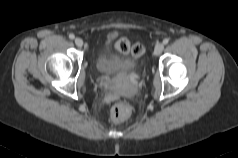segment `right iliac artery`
Segmentation results:
<instances>
[{
  "mask_svg": "<svg viewBox=\"0 0 238 158\" xmlns=\"http://www.w3.org/2000/svg\"><path fill=\"white\" fill-rule=\"evenodd\" d=\"M69 38L73 40L75 38L74 34H70Z\"/></svg>",
  "mask_w": 238,
  "mask_h": 158,
  "instance_id": "1",
  "label": "right iliac artery"
}]
</instances>
